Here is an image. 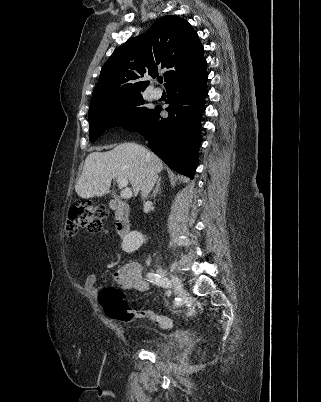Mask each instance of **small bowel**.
Instances as JSON below:
<instances>
[{
  "label": "small bowel",
  "instance_id": "c3829d8e",
  "mask_svg": "<svg viewBox=\"0 0 321 402\" xmlns=\"http://www.w3.org/2000/svg\"><path fill=\"white\" fill-rule=\"evenodd\" d=\"M115 279L125 289H132L138 292H145L149 289V283L142 276V266L138 262H129L118 268L114 274ZM96 278L90 275L86 279V287L94 290ZM138 316H141L140 314Z\"/></svg>",
  "mask_w": 321,
  "mask_h": 402
}]
</instances>
